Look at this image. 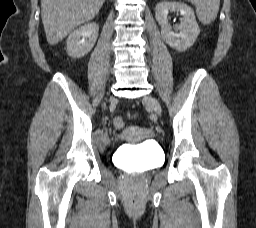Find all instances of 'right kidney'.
Wrapping results in <instances>:
<instances>
[{
	"label": "right kidney",
	"mask_w": 256,
	"mask_h": 228,
	"mask_svg": "<svg viewBox=\"0 0 256 228\" xmlns=\"http://www.w3.org/2000/svg\"><path fill=\"white\" fill-rule=\"evenodd\" d=\"M99 27L96 23H88L72 32L67 39V53L78 58L86 55L93 48Z\"/></svg>",
	"instance_id": "right-kidney-1"
}]
</instances>
